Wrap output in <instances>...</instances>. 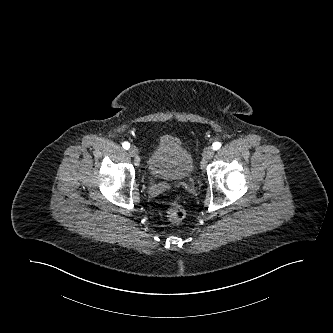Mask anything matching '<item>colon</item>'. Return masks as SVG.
Segmentation results:
<instances>
[{
  "label": "colon",
  "mask_w": 333,
  "mask_h": 333,
  "mask_svg": "<svg viewBox=\"0 0 333 333\" xmlns=\"http://www.w3.org/2000/svg\"><path fill=\"white\" fill-rule=\"evenodd\" d=\"M166 215L170 221L178 222L184 218L185 211L179 204L172 203L168 206L166 210Z\"/></svg>",
  "instance_id": "1"
}]
</instances>
